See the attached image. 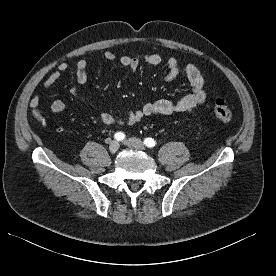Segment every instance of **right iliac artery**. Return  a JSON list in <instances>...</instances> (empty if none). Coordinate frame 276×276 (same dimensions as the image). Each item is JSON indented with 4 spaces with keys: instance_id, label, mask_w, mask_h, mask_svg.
<instances>
[{
    "instance_id": "82829eb1",
    "label": "right iliac artery",
    "mask_w": 276,
    "mask_h": 276,
    "mask_svg": "<svg viewBox=\"0 0 276 276\" xmlns=\"http://www.w3.org/2000/svg\"><path fill=\"white\" fill-rule=\"evenodd\" d=\"M114 138L117 141H122L125 139V134L123 132H117V133H115Z\"/></svg>"
}]
</instances>
